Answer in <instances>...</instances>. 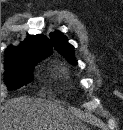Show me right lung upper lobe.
<instances>
[{
    "label": "right lung upper lobe",
    "instance_id": "1",
    "mask_svg": "<svg viewBox=\"0 0 123 130\" xmlns=\"http://www.w3.org/2000/svg\"><path fill=\"white\" fill-rule=\"evenodd\" d=\"M52 46L49 39L39 34L27 37L18 47L9 46L6 51V61L11 59L31 56V55H50Z\"/></svg>",
    "mask_w": 123,
    "mask_h": 130
}]
</instances>
